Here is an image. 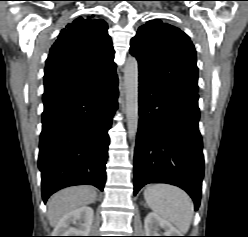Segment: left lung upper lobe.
I'll return each instance as SVG.
<instances>
[{"label": "left lung upper lobe", "instance_id": "obj_1", "mask_svg": "<svg viewBox=\"0 0 248 237\" xmlns=\"http://www.w3.org/2000/svg\"><path fill=\"white\" fill-rule=\"evenodd\" d=\"M140 76L166 89L198 92L196 51L190 38L168 23L150 20L131 40Z\"/></svg>", "mask_w": 248, "mask_h": 237}]
</instances>
